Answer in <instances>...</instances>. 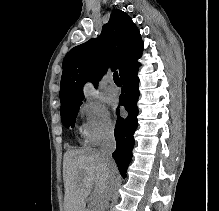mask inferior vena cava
<instances>
[{
  "instance_id": "1",
  "label": "inferior vena cava",
  "mask_w": 219,
  "mask_h": 211,
  "mask_svg": "<svg viewBox=\"0 0 219 211\" xmlns=\"http://www.w3.org/2000/svg\"><path fill=\"white\" fill-rule=\"evenodd\" d=\"M115 149L116 141L114 135H112V133L105 135L103 141L100 143V151L103 159H106V161H103L104 171H108V175H113V178L111 179L112 183L109 184L110 188H117V183H119L122 178L121 170H117L118 161H113L112 157V153Z\"/></svg>"
}]
</instances>
